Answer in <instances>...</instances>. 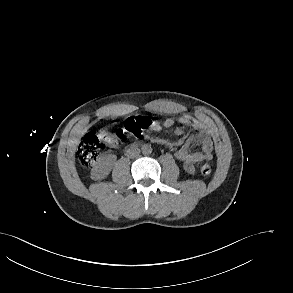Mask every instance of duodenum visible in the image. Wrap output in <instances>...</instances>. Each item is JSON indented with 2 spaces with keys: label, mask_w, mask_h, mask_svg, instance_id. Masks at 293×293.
I'll list each match as a JSON object with an SVG mask.
<instances>
[{
  "label": "duodenum",
  "mask_w": 293,
  "mask_h": 293,
  "mask_svg": "<svg viewBox=\"0 0 293 293\" xmlns=\"http://www.w3.org/2000/svg\"><path fill=\"white\" fill-rule=\"evenodd\" d=\"M141 145H143L142 142L137 143V144H132V145L127 146V147L125 148V150H126V152H129L130 150H132V149H134V148H137V147H139V146H141Z\"/></svg>",
  "instance_id": "410a0bca"
}]
</instances>
